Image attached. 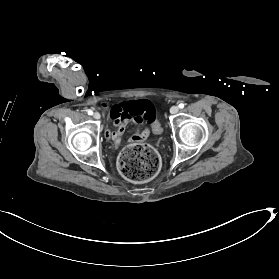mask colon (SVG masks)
I'll return each instance as SVG.
<instances>
[{
  "mask_svg": "<svg viewBox=\"0 0 279 279\" xmlns=\"http://www.w3.org/2000/svg\"><path fill=\"white\" fill-rule=\"evenodd\" d=\"M154 128L158 130V125L154 124ZM160 165L158 153L146 144L125 148L118 159L120 173L132 182H144L153 178L158 173Z\"/></svg>",
  "mask_w": 279,
  "mask_h": 279,
  "instance_id": "colon-1",
  "label": "colon"
}]
</instances>
